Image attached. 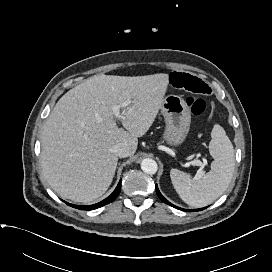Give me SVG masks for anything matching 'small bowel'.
<instances>
[{"instance_id": "c3829d8e", "label": "small bowel", "mask_w": 272, "mask_h": 272, "mask_svg": "<svg viewBox=\"0 0 272 272\" xmlns=\"http://www.w3.org/2000/svg\"><path fill=\"white\" fill-rule=\"evenodd\" d=\"M168 82L173 88L194 96H207L212 92L211 87L203 79L185 72L170 73Z\"/></svg>"}]
</instances>
